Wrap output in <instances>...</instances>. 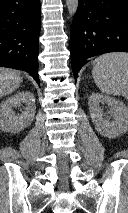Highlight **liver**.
<instances>
[{"label":"liver","mask_w":128,"mask_h":213,"mask_svg":"<svg viewBox=\"0 0 128 213\" xmlns=\"http://www.w3.org/2000/svg\"><path fill=\"white\" fill-rule=\"evenodd\" d=\"M22 81L17 71L0 67V98L15 91Z\"/></svg>","instance_id":"obj_1"}]
</instances>
